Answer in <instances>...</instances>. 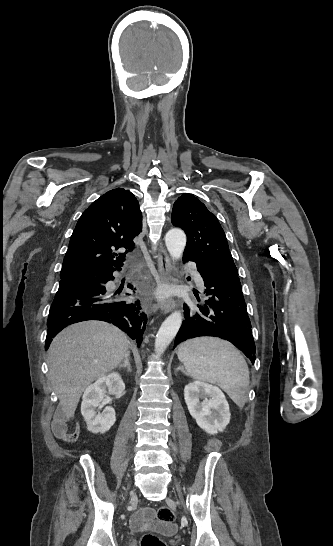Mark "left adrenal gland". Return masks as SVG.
I'll use <instances>...</instances> for the list:
<instances>
[{"label": "left adrenal gland", "mask_w": 333, "mask_h": 546, "mask_svg": "<svg viewBox=\"0 0 333 546\" xmlns=\"http://www.w3.org/2000/svg\"><path fill=\"white\" fill-rule=\"evenodd\" d=\"M178 370H181L183 373H185V371L183 370L182 367H178V368H177V371H178Z\"/></svg>", "instance_id": "left-adrenal-gland-1"}]
</instances>
